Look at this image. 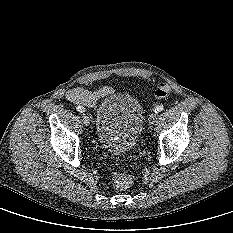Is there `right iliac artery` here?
<instances>
[{
    "label": "right iliac artery",
    "instance_id": "82829eb1",
    "mask_svg": "<svg viewBox=\"0 0 233 233\" xmlns=\"http://www.w3.org/2000/svg\"><path fill=\"white\" fill-rule=\"evenodd\" d=\"M76 110H77L78 112H80V113H82V112L85 111L84 108H83L82 106H77V107H76Z\"/></svg>",
    "mask_w": 233,
    "mask_h": 233
}]
</instances>
